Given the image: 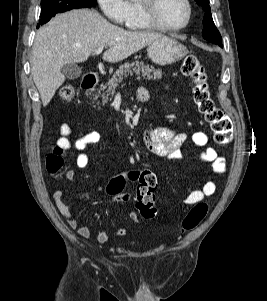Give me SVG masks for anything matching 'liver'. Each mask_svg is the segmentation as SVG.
Listing matches in <instances>:
<instances>
[{
	"label": "liver",
	"instance_id": "1",
	"mask_svg": "<svg viewBox=\"0 0 267 301\" xmlns=\"http://www.w3.org/2000/svg\"><path fill=\"white\" fill-rule=\"evenodd\" d=\"M164 37L153 32L127 31L112 25L98 12L72 10L56 15L41 28L32 47L31 74L43 106L64 83L61 68L69 63H82L98 48L108 47L105 61L126 59L155 40Z\"/></svg>",
	"mask_w": 267,
	"mask_h": 301
}]
</instances>
